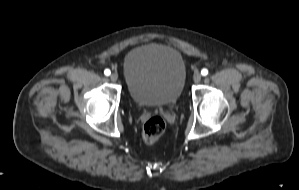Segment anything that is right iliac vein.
<instances>
[{"label":"right iliac vein","mask_w":299,"mask_h":190,"mask_svg":"<svg viewBox=\"0 0 299 190\" xmlns=\"http://www.w3.org/2000/svg\"><path fill=\"white\" fill-rule=\"evenodd\" d=\"M110 79H111L112 82H116L117 79H118V75L116 73H112L110 75Z\"/></svg>","instance_id":"63e3f726"}]
</instances>
